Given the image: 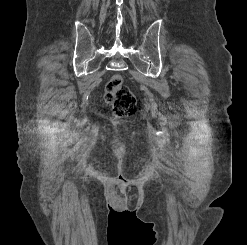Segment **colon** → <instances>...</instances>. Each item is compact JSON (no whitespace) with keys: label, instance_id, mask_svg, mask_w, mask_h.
Returning <instances> with one entry per match:
<instances>
[{"label":"colon","instance_id":"colon-1","mask_svg":"<svg viewBox=\"0 0 247 245\" xmlns=\"http://www.w3.org/2000/svg\"><path fill=\"white\" fill-rule=\"evenodd\" d=\"M105 102L118 117L131 115L136 107L135 95L123 84V78L119 74H113L108 79L105 86Z\"/></svg>","mask_w":247,"mask_h":245}]
</instances>
